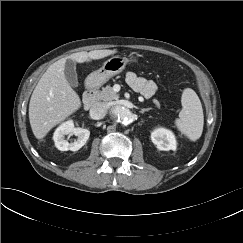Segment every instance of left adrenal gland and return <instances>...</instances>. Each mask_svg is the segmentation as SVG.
Returning a JSON list of instances; mask_svg holds the SVG:
<instances>
[{
    "label": "left adrenal gland",
    "instance_id": "left-adrenal-gland-1",
    "mask_svg": "<svg viewBox=\"0 0 243 243\" xmlns=\"http://www.w3.org/2000/svg\"><path fill=\"white\" fill-rule=\"evenodd\" d=\"M151 108H144V109H142V110H140V113H144V112H146V111H149Z\"/></svg>",
    "mask_w": 243,
    "mask_h": 243
}]
</instances>
